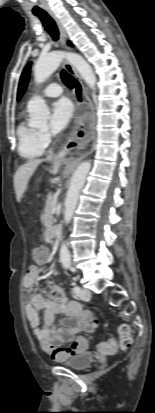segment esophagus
Here are the masks:
<instances>
[{
    "mask_svg": "<svg viewBox=\"0 0 155 413\" xmlns=\"http://www.w3.org/2000/svg\"><path fill=\"white\" fill-rule=\"evenodd\" d=\"M48 14L52 17V19L55 21L59 32H60V38H61V44L64 48H68L66 41H67V35H66V31L62 25V23L60 22V20L56 17V15L53 12H48ZM62 67L70 74L73 76L74 80H75V102H76V109L79 113H84L91 105V100L88 96V92L84 86V84L82 83V81L80 80L76 70L74 69V67L68 62L65 61L62 65ZM73 140H70L69 142L66 143V145L63 148V153L68 152L72 146H73ZM87 154H84L82 156H80L79 158L75 159L72 164H71V168L75 167L83 158H85Z\"/></svg>",
    "mask_w": 155,
    "mask_h": 413,
    "instance_id": "obj_1",
    "label": "esophagus"
}]
</instances>
